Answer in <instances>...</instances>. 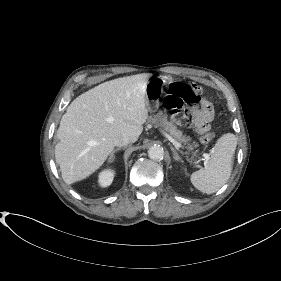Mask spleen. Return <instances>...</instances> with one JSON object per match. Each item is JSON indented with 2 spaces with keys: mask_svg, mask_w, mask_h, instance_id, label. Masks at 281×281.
Instances as JSON below:
<instances>
[{
  "mask_svg": "<svg viewBox=\"0 0 281 281\" xmlns=\"http://www.w3.org/2000/svg\"><path fill=\"white\" fill-rule=\"evenodd\" d=\"M237 138L232 133L220 137L211 151L205 167L191 174V182L199 191L212 194L218 191L229 179Z\"/></svg>",
  "mask_w": 281,
  "mask_h": 281,
  "instance_id": "3e777b00",
  "label": "spleen"
}]
</instances>
